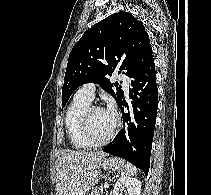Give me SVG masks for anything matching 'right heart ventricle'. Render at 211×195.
<instances>
[{
  "mask_svg": "<svg viewBox=\"0 0 211 195\" xmlns=\"http://www.w3.org/2000/svg\"><path fill=\"white\" fill-rule=\"evenodd\" d=\"M91 104V100L76 93L66 111L65 129L71 145L78 150L91 148L81 134L80 120L84 110Z\"/></svg>",
  "mask_w": 211,
  "mask_h": 195,
  "instance_id": "1",
  "label": "right heart ventricle"
}]
</instances>
